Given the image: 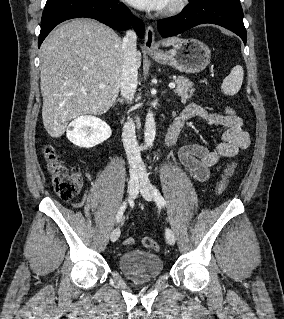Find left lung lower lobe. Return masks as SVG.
I'll use <instances>...</instances> for the list:
<instances>
[{
    "mask_svg": "<svg viewBox=\"0 0 284 319\" xmlns=\"http://www.w3.org/2000/svg\"><path fill=\"white\" fill-rule=\"evenodd\" d=\"M205 23L231 30L246 44L247 34L239 0H191L180 14L159 20L157 25L161 36L165 38Z\"/></svg>",
    "mask_w": 284,
    "mask_h": 319,
    "instance_id": "1",
    "label": "left lung lower lobe"
}]
</instances>
